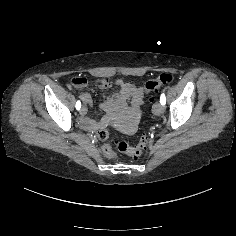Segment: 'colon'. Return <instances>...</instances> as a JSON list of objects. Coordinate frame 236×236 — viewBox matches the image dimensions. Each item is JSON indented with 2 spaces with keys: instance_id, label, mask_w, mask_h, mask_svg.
<instances>
[{
  "instance_id": "obj_1",
  "label": "colon",
  "mask_w": 236,
  "mask_h": 236,
  "mask_svg": "<svg viewBox=\"0 0 236 236\" xmlns=\"http://www.w3.org/2000/svg\"><path fill=\"white\" fill-rule=\"evenodd\" d=\"M174 76L172 73L164 72L158 75L156 78L151 79L145 83L144 92L151 93L159 90L163 85L169 84L172 82ZM99 82L106 83L105 79H100ZM72 84L78 88L85 87L89 84V80L82 76H75L72 78ZM98 137L103 143V151L107 158H114L115 152L111 142L109 141V134L105 129H101L98 133ZM149 143V136L142 135L140 141L137 144H131L126 141H121L117 143V149L127 155L138 157L145 152Z\"/></svg>"
}]
</instances>
